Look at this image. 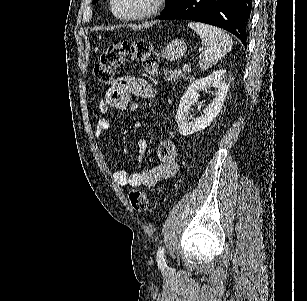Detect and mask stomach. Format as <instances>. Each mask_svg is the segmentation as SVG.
Wrapping results in <instances>:
<instances>
[{"instance_id": "stomach-1", "label": "stomach", "mask_w": 307, "mask_h": 301, "mask_svg": "<svg viewBox=\"0 0 307 301\" xmlns=\"http://www.w3.org/2000/svg\"><path fill=\"white\" fill-rule=\"evenodd\" d=\"M187 50V42L181 40V38H174L171 42H168L166 46L161 48L160 56L166 58V60H179L184 56Z\"/></svg>"}]
</instances>
